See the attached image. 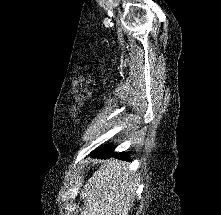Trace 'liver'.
<instances>
[{
	"label": "liver",
	"mask_w": 221,
	"mask_h": 215,
	"mask_svg": "<svg viewBox=\"0 0 221 215\" xmlns=\"http://www.w3.org/2000/svg\"><path fill=\"white\" fill-rule=\"evenodd\" d=\"M136 189V177L126 162L106 160L80 193L81 215H128Z\"/></svg>",
	"instance_id": "obj_1"
}]
</instances>
